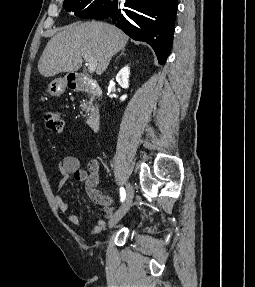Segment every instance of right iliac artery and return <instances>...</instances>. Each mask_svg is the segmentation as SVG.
<instances>
[{"label":"right iliac artery","instance_id":"right-iliac-artery-1","mask_svg":"<svg viewBox=\"0 0 255 287\" xmlns=\"http://www.w3.org/2000/svg\"><path fill=\"white\" fill-rule=\"evenodd\" d=\"M120 197H121V202H123V200L126 197L125 189L123 187L120 188Z\"/></svg>","mask_w":255,"mask_h":287}]
</instances>
